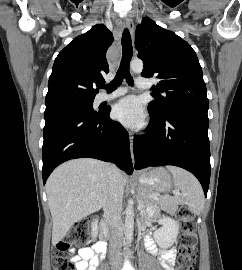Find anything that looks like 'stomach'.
Instances as JSON below:
<instances>
[{"mask_svg": "<svg viewBox=\"0 0 242 270\" xmlns=\"http://www.w3.org/2000/svg\"><path fill=\"white\" fill-rule=\"evenodd\" d=\"M139 183L141 186V192H165L169 191L172 186L171 177L169 173L163 168H156L143 173L139 177Z\"/></svg>", "mask_w": 242, "mask_h": 270, "instance_id": "stomach-1", "label": "stomach"}]
</instances>
